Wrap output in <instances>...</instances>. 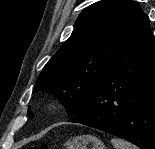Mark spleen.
I'll return each instance as SVG.
<instances>
[{
  "mask_svg": "<svg viewBox=\"0 0 155 149\" xmlns=\"http://www.w3.org/2000/svg\"><path fill=\"white\" fill-rule=\"evenodd\" d=\"M111 142L114 145L115 149H138L135 145H132L131 143L122 139L112 138Z\"/></svg>",
  "mask_w": 155,
  "mask_h": 149,
  "instance_id": "spleen-1",
  "label": "spleen"
}]
</instances>
